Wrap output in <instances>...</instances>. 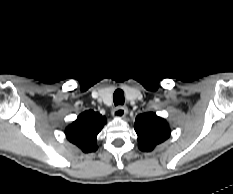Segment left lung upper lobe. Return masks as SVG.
<instances>
[{
  "label": "left lung upper lobe",
  "instance_id": "1",
  "mask_svg": "<svg viewBox=\"0 0 233 194\" xmlns=\"http://www.w3.org/2000/svg\"><path fill=\"white\" fill-rule=\"evenodd\" d=\"M135 131L138 135L139 149L147 152L170 136V128L166 121L153 112L136 117Z\"/></svg>",
  "mask_w": 233,
  "mask_h": 194
}]
</instances>
